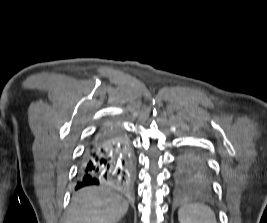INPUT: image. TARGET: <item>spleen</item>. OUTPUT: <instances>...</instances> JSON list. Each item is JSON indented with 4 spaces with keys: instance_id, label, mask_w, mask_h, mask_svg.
Wrapping results in <instances>:
<instances>
[{
    "instance_id": "spleen-1",
    "label": "spleen",
    "mask_w": 267,
    "mask_h": 223,
    "mask_svg": "<svg viewBox=\"0 0 267 223\" xmlns=\"http://www.w3.org/2000/svg\"><path fill=\"white\" fill-rule=\"evenodd\" d=\"M180 223H217L214 212L203 204L184 205L178 211Z\"/></svg>"
}]
</instances>
